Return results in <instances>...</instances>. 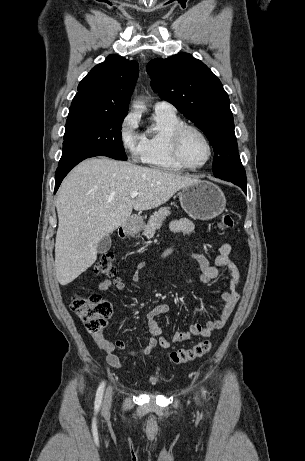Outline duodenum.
Returning <instances> with one entry per match:
<instances>
[{
    "mask_svg": "<svg viewBox=\"0 0 305 461\" xmlns=\"http://www.w3.org/2000/svg\"><path fill=\"white\" fill-rule=\"evenodd\" d=\"M136 219H128L121 228V236L128 237L136 226Z\"/></svg>",
    "mask_w": 305,
    "mask_h": 461,
    "instance_id": "obj_1",
    "label": "duodenum"
}]
</instances>
